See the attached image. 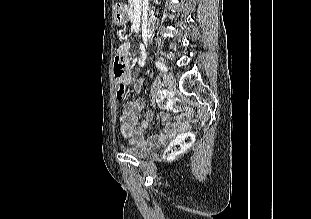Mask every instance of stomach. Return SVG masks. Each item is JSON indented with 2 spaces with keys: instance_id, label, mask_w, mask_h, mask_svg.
I'll list each match as a JSON object with an SVG mask.
<instances>
[{
  "instance_id": "obj_1",
  "label": "stomach",
  "mask_w": 311,
  "mask_h": 219,
  "mask_svg": "<svg viewBox=\"0 0 311 219\" xmlns=\"http://www.w3.org/2000/svg\"><path fill=\"white\" fill-rule=\"evenodd\" d=\"M116 20L118 24H125L128 21V16L126 13L121 12L116 15Z\"/></svg>"
}]
</instances>
